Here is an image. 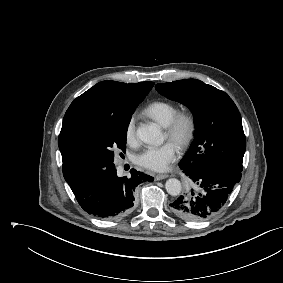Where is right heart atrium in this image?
Wrapping results in <instances>:
<instances>
[{
	"label": "right heart atrium",
	"mask_w": 283,
	"mask_h": 283,
	"mask_svg": "<svg viewBox=\"0 0 283 283\" xmlns=\"http://www.w3.org/2000/svg\"><path fill=\"white\" fill-rule=\"evenodd\" d=\"M125 139L127 143L134 144L137 141L136 134V117L131 116L125 127Z\"/></svg>",
	"instance_id": "right-heart-atrium-1"
}]
</instances>
